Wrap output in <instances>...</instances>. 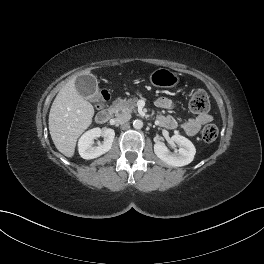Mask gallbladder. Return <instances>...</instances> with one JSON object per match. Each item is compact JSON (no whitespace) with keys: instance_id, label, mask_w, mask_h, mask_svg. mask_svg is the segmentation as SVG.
Instances as JSON below:
<instances>
[{"instance_id":"gallbladder-1","label":"gallbladder","mask_w":264,"mask_h":264,"mask_svg":"<svg viewBox=\"0 0 264 264\" xmlns=\"http://www.w3.org/2000/svg\"><path fill=\"white\" fill-rule=\"evenodd\" d=\"M77 92L85 99L95 102L100 99L97 79L92 74L80 75L76 78Z\"/></svg>"}]
</instances>
